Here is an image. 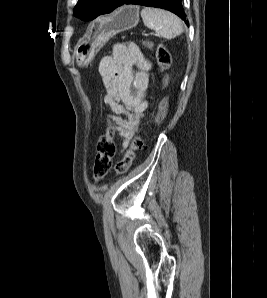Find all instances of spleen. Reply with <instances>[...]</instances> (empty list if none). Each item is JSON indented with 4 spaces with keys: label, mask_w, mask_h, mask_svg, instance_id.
I'll return each mask as SVG.
<instances>
[{
    "label": "spleen",
    "mask_w": 267,
    "mask_h": 298,
    "mask_svg": "<svg viewBox=\"0 0 267 298\" xmlns=\"http://www.w3.org/2000/svg\"><path fill=\"white\" fill-rule=\"evenodd\" d=\"M144 25L163 38L173 39L183 33L181 20L169 11L145 7L141 11Z\"/></svg>",
    "instance_id": "3e777b00"
}]
</instances>
